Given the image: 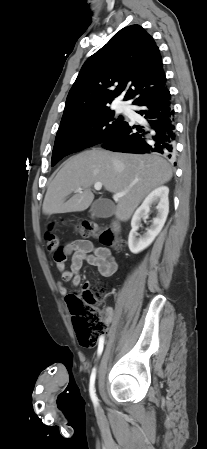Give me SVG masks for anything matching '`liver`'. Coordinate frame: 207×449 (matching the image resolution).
Segmentation results:
<instances>
[{"label":"liver","instance_id":"obj_1","mask_svg":"<svg viewBox=\"0 0 207 449\" xmlns=\"http://www.w3.org/2000/svg\"><path fill=\"white\" fill-rule=\"evenodd\" d=\"M172 175L171 165L155 154L87 150L64 163L46 192L42 212L52 215L86 210L94 199L92 185L101 182L111 193H126L118 199L114 214L117 219L127 221L141 201ZM78 188L81 193L76 192ZM73 192L76 194L66 201Z\"/></svg>","mask_w":207,"mask_h":449}]
</instances>
